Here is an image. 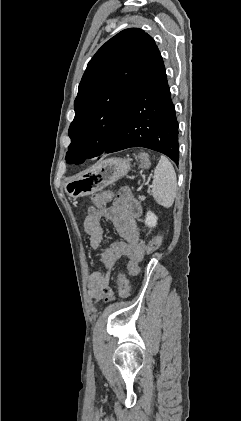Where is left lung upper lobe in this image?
<instances>
[{
  "instance_id": "1",
  "label": "left lung upper lobe",
  "mask_w": 241,
  "mask_h": 421,
  "mask_svg": "<svg viewBox=\"0 0 241 421\" xmlns=\"http://www.w3.org/2000/svg\"><path fill=\"white\" fill-rule=\"evenodd\" d=\"M156 44L143 30L125 29L89 61L74 102L66 161L101 156L117 138L142 72Z\"/></svg>"
}]
</instances>
